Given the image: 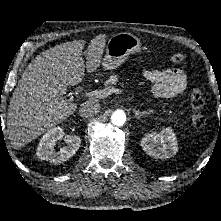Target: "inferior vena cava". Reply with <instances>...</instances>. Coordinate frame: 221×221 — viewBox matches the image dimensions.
Returning a JSON list of instances; mask_svg holds the SVG:
<instances>
[{
	"mask_svg": "<svg viewBox=\"0 0 221 221\" xmlns=\"http://www.w3.org/2000/svg\"><path fill=\"white\" fill-rule=\"evenodd\" d=\"M100 111L99 103L87 101L80 105L79 114L81 117H92Z\"/></svg>",
	"mask_w": 221,
	"mask_h": 221,
	"instance_id": "1",
	"label": "inferior vena cava"
}]
</instances>
